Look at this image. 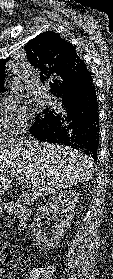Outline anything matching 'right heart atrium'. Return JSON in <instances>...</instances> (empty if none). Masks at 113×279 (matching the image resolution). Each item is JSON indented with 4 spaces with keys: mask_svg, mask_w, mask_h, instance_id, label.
Here are the masks:
<instances>
[{
    "mask_svg": "<svg viewBox=\"0 0 113 279\" xmlns=\"http://www.w3.org/2000/svg\"><path fill=\"white\" fill-rule=\"evenodd\" d=\"M32 110L18 97H6L0 101V126L11 137L24 133L30 125Z\"/></svg>",
    "mask_w": 113,
    "mask_h": 279,
    "instance_id": "obj_1",
    "label": "right heart atrium"
}]
</instances>
